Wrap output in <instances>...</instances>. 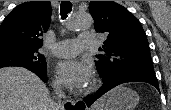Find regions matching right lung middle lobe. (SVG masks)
<instances>
[{
  "label": "right lung middle lobe",
  "instance_id": "right-lung-middle-lobe-1",
  "mask_svg": "<svg viewBox=\"0 0 171 110\" xmlns=\"http://www.w3.org/2000/svg\"><path fill=\"white\" fill-rule=\"evenodd\" d=\"M6 66L25 67L29 70L46 72V61L39 49L17 44H0V68Z\"/></svg>",
  "mask_w": 171,
  "mask_h": 110
}]
</instances>
